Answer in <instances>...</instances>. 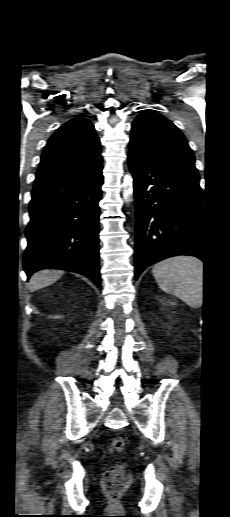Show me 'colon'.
<instances>
[{
  "label": "colon",
  "instance_id": "colon-1",
  "mask_svg": "<svg viewBox=\"0 0 230 517\" xmlns=\"http://www.w3.org/2000/svg\"><path fill=\"white\" fill-rule=\"evenodd\" d=\"M125 447V442L121 437H114L109 445L110 451H122ZM131 479L130 473L123 465H115L108 469L104 474L102 486L105 493L111 497L116 498L129 484Z\"/></svg>",
  "mask_w": 230,
  "mask_h": 517
}]
</instances>
